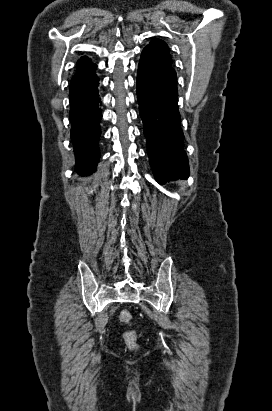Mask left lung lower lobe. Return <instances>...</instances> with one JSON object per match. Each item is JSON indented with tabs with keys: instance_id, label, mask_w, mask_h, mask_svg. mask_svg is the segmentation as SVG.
I'll use <instances>...</instances> for the list:
<instances>
[{
	"instance_id": "left-lung-lower-lobe-1",
	"label": "left lung lower lobe",
	"mask_w": 272,
	"mask_h": 411,
	"mask_svg": "<svg viewBox=\"0 0 272 411\" xmlns=\"http://www.w3.org/2000/svg\"><path fill=\"white\" fill-rule=\"evenodd\" d=\"M172 65L144 48L138 65L137 99L147 139L149 162L160 184L189 176Z\"/></svg>"
}]
</instances>
